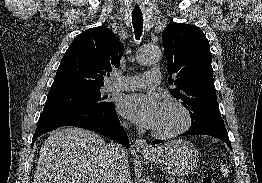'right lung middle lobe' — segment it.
<instances>
[{
	"mask_svg": "<svg viewBox=\"0 0 262 183\" xmlns=\"http://www.w3.org/2000/svg\"><path fill=\"white\" fill-rule=\"evenodd\" d=\"M100 88L67 89L49 92L44 107H77L83 109H105L113 106L112 102L101 96Z\"/></svg>",
	"mask_w": 262,
	"mask_h": 183,
	"instance_id": "obj_1",
	"label": "right lung middle lobe"
}]
</instances>
